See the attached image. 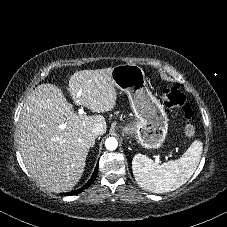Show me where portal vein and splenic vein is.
I'll return each instance as SVG.
<instances>
[{"mask_svg":"<svg viewBox=\"0 0 227 227\" xmlns=\"http://www.w3.org/2000/svg\"><path fill=\"white\" fill-rule=\"evenodd\" d=\"M78 111H79L78 113H79L80 115H82V114L84 113L83 108H80ZM60 128H64V125H61ZM156 161L159 162V158H156Z\"/></svg>","mask_w":227,"mask_h":227,"instance_id":"portal-vein-and-splenic-vein-1","label":"portal vein and splenic vein"}]
</instances>
